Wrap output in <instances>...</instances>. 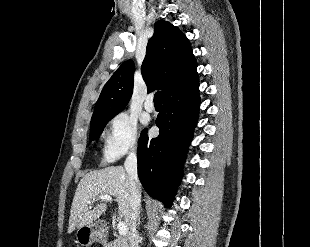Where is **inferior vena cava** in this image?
Wrapping results in <instances>:
<instances>
[{
	"label": "inferior vena cava",
	"mask_w": 310,
	"mask_h": 247,
	"mask_svg": "<svg viewBox=\"0 0 310 247\" xmlns=\"http://www.w3.org/2000/svg\"><path fill=\"white\" fill-rule=\"evenodd\" d=\"M130 184V213L128 219L129 247H139V234L136 229V221L141 203V185L137 174V155L133 150L124 162Z\"/></svg>",
	"instance_id": "inferior-vena-cava-1"
}]
</instances>
